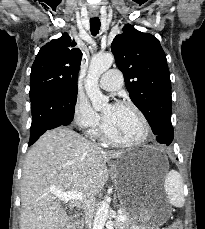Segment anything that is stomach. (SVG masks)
Segmentation results:
<instances>
[{"mask_svg":"<svg viewBox=\"0 0 205 229\" xmlns=\"http://www.w3.org/2000/svg\"><path fill=\"white\" fill-rule=\"evenodd\" d=\"M153 152L152 147L143 146L123 154L111 166V177L136 229H158L168 217L165 208L141 193L143 177L148 169L147 161L153 158Z\"/></svg>","mask_w":205,"mask_h":229,"instance_id":"1","label":"stomach"}]
</instances>
